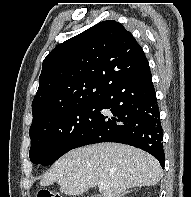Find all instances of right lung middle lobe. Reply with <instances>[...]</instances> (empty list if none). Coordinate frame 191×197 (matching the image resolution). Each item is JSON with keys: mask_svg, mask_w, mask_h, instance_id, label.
Listing matches in <instances>:
<instances>
[{"mask_svg": "<svg viewBox=\"0 0 191 197\" xmlns=\"http://www.w3.org/2000/svg\"><path fill=\"white\" fill-rule=\"evenodd\" d=\"M98 101L73 106L30 128V160L51 165L73 149L98 115Z\"/></svg>", "mask_w": 191, "mask_h": 197, "instance_id": "1", "label": "right lung middle lobe"}]
</instances>
